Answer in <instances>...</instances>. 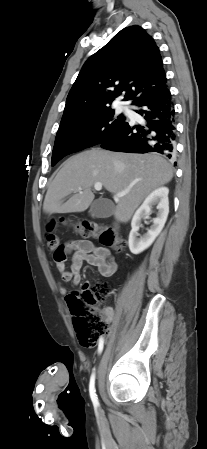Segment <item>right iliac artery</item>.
<instances>
[{
  "label": "right iliac artery",
  "instance_id": "obj_1",
  "mask_svg": "<svg viewBox=\"0 0 207 449\" xmlns=\"http://www.w3.org/2000/svg\"><path fill=\"white\" fill-rule=\"evenodd\" d=\"M103 347H104V338L102 337L99 340V345H98V353L99 354L102 352ZM89 393H90V397L93 402V405L95 407H97L99 405V402H98V398H97V394H96V390H95V372H93L90 377Z\"/></svg>",
  "mask_w": 207,
  "mask_h": 449
}]
</instances>
